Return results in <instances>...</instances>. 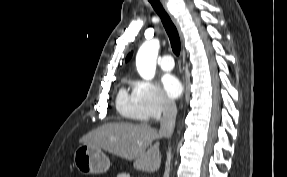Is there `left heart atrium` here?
Returning a JSON list of instances; mask_svg holds the SVG:
<instances>
[{"instance_id":"39dd6f15","label":"left heart atrium","mask_w":287,"mask_h":177,"mask_svg":"<svg viewBox=\"0 0 287 177\" xmlns=\"http://www.w3.org/2000/svg\"><path fill=\"white\" fill-rule=\"evenodd\" d=\"M162 85L170 98H178L183 91L182 82L173 74L164 75L162 77Z\"/></svg>"}]
</instances>
